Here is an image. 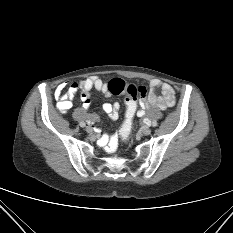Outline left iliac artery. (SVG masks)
Here are the masks:
<instances>
[{
  "mask_svg": "<svg viewBox=\"0 0 233 233\" xmlns=\"http://www.w3.org/2000/svg\"><path fill=\"white\" fill-rule=\"evenodd\" d=\"M152 127H153V128H156V127H157V123H156V122H153V123H152Z\"/></svg>",
  "mask_w": 233,
  "mask_h": 233,
  "instance_id": "left-iliac-artery-1",
  "label": "left iliac artery"
}]
</instances>
